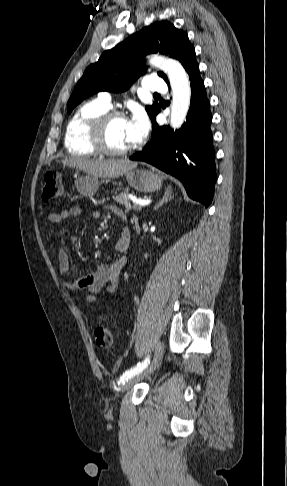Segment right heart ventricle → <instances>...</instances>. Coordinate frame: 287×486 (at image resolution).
Returning a JSON list of instances; mask_svg holds the SVG:
<instances>
[{
  "label": "right heart ventricle",
  "mask_w": 287,
  "mask_h": 486,
  "mask_svg": "<svg viewBox=\"0 0 287 486\" xmlns=\"http://www.w3.org/2000/svg\"><path fill=\"white\" fill-rule=\"evenodd\" d=\"M109 110V106L99 99L82 104L67 123L64 145L68 153L74 156L91 157L97 152L90 145L88 130L91 122Z\"/></svg>",
  "instance_id": "right-heart-ventricle-1"
}]
</instances>
